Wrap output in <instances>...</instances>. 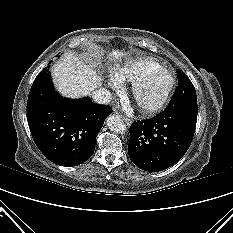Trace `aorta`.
Segmentation results:
<instances>
[{"instance_id":"1","label":"aorta","mask_w":233,"mask_h":233,"mask_svg":"<svg viewBox=\"0 0 233 233\" xmlns=\"http://www.w3.org/2000/svg\"><path fill=\"white\" fill-rule=\"evenodd\" d=\"M107 126L108 128L115 133H124L126 130V126L123 120L117 115H110L107 118Z\"/></svg>"}]
</instances>
